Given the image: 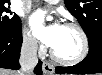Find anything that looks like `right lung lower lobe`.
I'll return each instance as SVG.
<instances>
[{"label": "right lung lower lobe", "mask_w": 102, "mask_h": 75, "mask_svg": "<svg viewBox=\"0 0 102 75\" xmlns=\"http://www.w3.org/2000/svg\"><path fill=\"white\" fill-rule=\"evenodd\" d=\"M22 45L21 27L8 31L0 30V68L18 69L20 49ZM34 73L42 74V62L39 61L34 69Z\"/></svg>", "instance_id": "98d812e1"}]
</instances>
